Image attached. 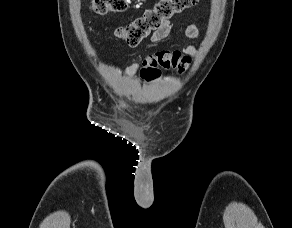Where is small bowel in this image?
<instances>
[{
    "instance_id": "small-bowel-1",
    "label": "small bowel",
    "mask_w": 292,
    "mask_h": 228,
    "mask_svg": "<svg viewBox=\"0 0 292 228\" xmlns=\"http://www.w3.org/2000/svg\"><path fill=\"white\" fill-rule=\"evenodd\" d=\"M170 23L166 21L163 25L156 30L151 37V40L155 44L161 43L170 33ZM186 35L191 38L195 39L198 37L199 32L195 25L191 24L186 28ZM185 60L186 66L188 67L191 57L195 54L196 49L194 46L190 45L184 48L182 51H175ZM140 69V64L134 63L125 69V73L132 76L135 75Z\"/></svg>"
}]
</instances>
